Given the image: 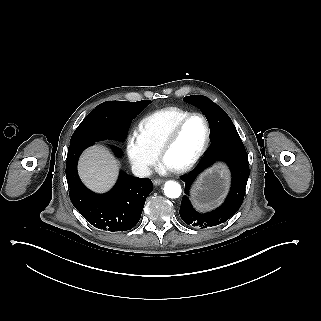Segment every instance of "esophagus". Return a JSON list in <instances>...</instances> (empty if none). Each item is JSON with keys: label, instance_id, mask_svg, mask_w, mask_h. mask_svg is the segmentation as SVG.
I'll return each instance as SVG.
<instances>
[{"label": "esophagus", "instance_id": "obj_1", "mask_svg": "<svg viewBox=\"0 0 321 321\" xmlns=\"http://www.w3.org/2000/svg\"><path fill=\"white\" fill-rule=\"evenodd\" d=\"M164 182V180H161V179H157V180H154V185H160Z\"/></svg>", "mask_w": 321, "mask_h": 321}]
</instances>
